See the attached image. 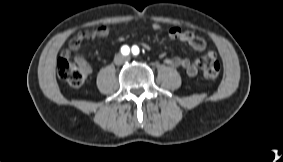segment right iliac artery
<instances>
[{
  "instance_id": "82829eb1",
  "label": "right iliac artery",
  "mask_w": 283,
  "mask_h": 162,
  "mask_svg": "<svg viewBox=\"0 0 283 162\" xmlns=\"http://www.w3.org/2000/svg\"><path fill=\"white\" fill-rule=\"evenodd\" d=\"M121 52H122L123 55H128L129 52H130V49H129V47L127 45H124L121 48Z\"/></svg>"
}]
</instances>
